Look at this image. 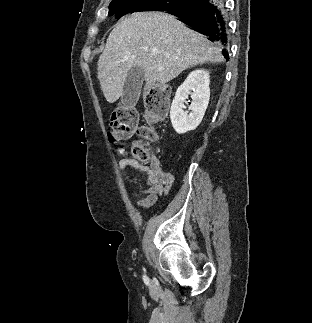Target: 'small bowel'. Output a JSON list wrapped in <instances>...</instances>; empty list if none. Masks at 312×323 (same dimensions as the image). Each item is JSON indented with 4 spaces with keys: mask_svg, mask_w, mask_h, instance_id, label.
Masks as SVG:
<instances>
[{
    "mask_svg": "<svg viewBox=\"0 0 312 323\" xmlns=\"http://www.w3.org/2000/svg\"><path fill=\"white\" fill-rule=\"evenodd\" d=\"M118 165L122 171L133 167L146 173L145 185L139 189V192L146 197L136 202L141 209L150 208L159 196L169 192L175 181L173 174L161 169L157 158H152L148 164H142L133 158L125 157L119 160Z\"/></svg>",
    "mask_w": 312,
    "mask_h": 323,
    "instance_id": "small-bowel-1",
    "label": "small bowel"
}]
</instances>
